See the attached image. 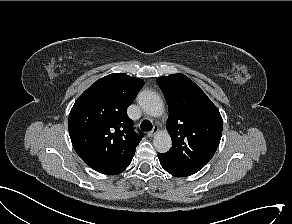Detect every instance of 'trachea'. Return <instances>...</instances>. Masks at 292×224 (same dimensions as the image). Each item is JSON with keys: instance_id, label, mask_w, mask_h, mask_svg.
Listing matches in <instances>:
<instances>
[{"instance_id": "obj_1", "label": "trachea", "mask_w": 292, "mask_h": 224, "mask_svg": "<svg viewBox=\"0 0 292 224\" xmlns=\"http://www.w3.org/2000/svg\"><path fill=\"white\" fill-rule=\"evenodd\" d=\"M140 127L143 131H150L152 130L153 126L152 123L148 120H144L141 124Z\"/></svg>"}]
</instances>
